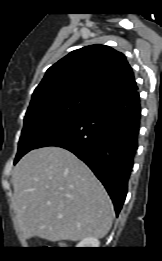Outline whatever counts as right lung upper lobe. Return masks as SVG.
<instances>
[{"mask_svg":"<svg viewBox=\"0 0 162 261\" xmlns=\"http://www.w3.org/2000/svg\"><path fill=\"white\" fill-rule=\"evenodd\" d=\"M137 89L124 54L109 46L91 45L72 51L52 65L35 89L32 100L77 92L102 103Z\"/></svg>","mask_w":162,"mask_h":261,"instance_id":"right-lung-upper-lobe-1","label":"right lung upper lobe"}]
</instances>
